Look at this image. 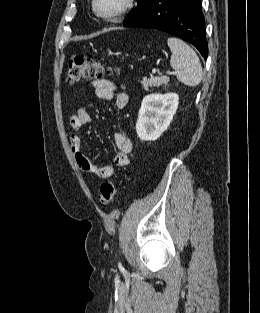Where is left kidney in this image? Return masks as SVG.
<instances>
[{
	"label": "left kidney",
	"mask_w": 260,
	"mask_h": 313,
	"mask_svg": "<svg viewBox=\"0 0 260 313\" xmlns=\"http://www.w3.org/2000/svg\"><path fill=\"white\" fill-rule=\"evenodd\" d=\"M176 93L150 94L142 100L136 123L138 137L143 141H154L170 125L178 108Z\"/></svg>",
	"instance_id": "left-kidney-1"
}]
</instances>
